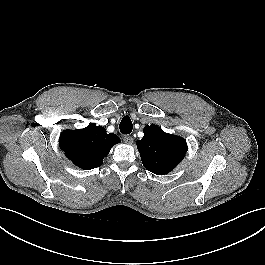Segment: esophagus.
<instances>
[{
  "mask_svg": "<svg viewBox=\"0 0 265 265\" xmlns=\"http://www.w3.org/2000/svg\"><path fill=\"white\" fill-rule=\"evenodd\" d=\"M133 137L132 136H125L124 137V142L126 143V144H132L133 143Z\"/></svg>",
  "mask_w": 265,
  "mask_h": 265,
  "instance_id": "34e87169",
  "label": "esophagus"
}]
</instances>
